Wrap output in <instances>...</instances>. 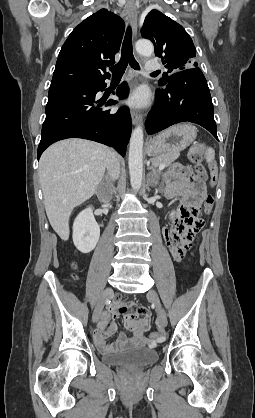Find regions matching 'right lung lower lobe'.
Returning a JSON list of instances; mask_svg holds the SVG:
<instances>
[{"mask_svg": "<svg viewBox=\"0 0 255 418\" xmlns=\"http://www.w3.org/2000/svg\"><path fill=\"white\" fill-rule=\"evenodd\" d=\"M105 87V79L50 87L38 159L48 146L66 138L103 143L125 156L131 134V116L126 107L116 112L100 108L104 104L117 103L112 99L107 102L95 99L96 93ZM127 94L128 86L124 82L117 88L116 95L123 99Z\"/></svg>", "mask_w": 255, "mask_h": 418, "instance_id": "1", "label": "right lung lower lobe"}]
</instances>
